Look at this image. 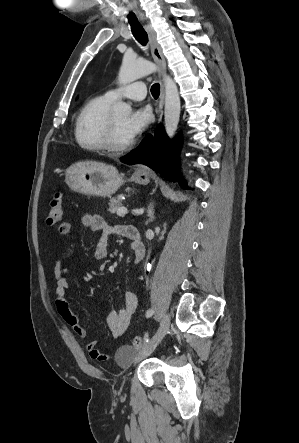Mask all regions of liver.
<instances>
[{"instance_id": "liver-1", "label": "liver", "mask_w": 299, "mask_h": 443, "mask_svg": "<svg viewBox=\"0 0 299 443\" xmlns=\"http://www.w3.org/2000/svg\"><path fill=\"white\" fill-rule=\"evenodd\" d=\"M86 163H88V164H94V165L101 164V163H97V162H86Z\"/></svg>"}]
</instances>
